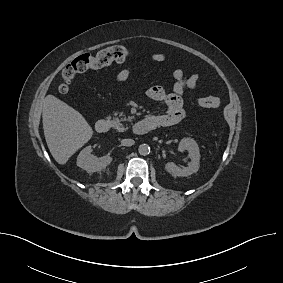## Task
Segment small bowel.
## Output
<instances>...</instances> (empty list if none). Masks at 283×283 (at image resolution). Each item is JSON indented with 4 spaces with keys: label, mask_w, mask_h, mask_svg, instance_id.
<instances>
[{
    "label": "small bowel",
    "mask_w": 283,
    "mask_h": 283,
    "mask_svg": "<svg viewBox=\"0 0 283 283\" xmlns=\"http://www.w3.org/2000/svg\"><path fill=\"white\" fill-rule=\"evenodd\" d=\"M166 59L165 54L155 53L150 57L154 63H162ZM131 75L130 68L122 69L116 76L118 83L126 82ZM174 85L173 92L168 93L162 86L155 85L147 89L146 95L153 101L162 102L166 105V111L150 115L157 127H168L179 123L185 117V109L182 96L187 89H195L198 83V76L186 75L182 69L173 71Z\"/></svg>",
    "instance_id": "small-bowel-1"
}]
</instances>
